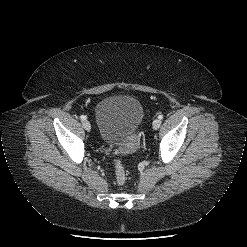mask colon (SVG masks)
<instances>
[{"instance_id": "obj_1", "label": "colon", "mask_w": 247, "mask_h": 247, "mask_svg": "<svg viewBox=\"0 0 247 247\" xmlns=\"http://www.w3.org/2000/svg\"><path fill=\"white\" fill-rule=\"evenodd\" d=\"M114 171L117 183L120 185L124 184L126 181L127 174L124 164L120 159H116L114 161Z\"/></svg>"}]
</instances>
